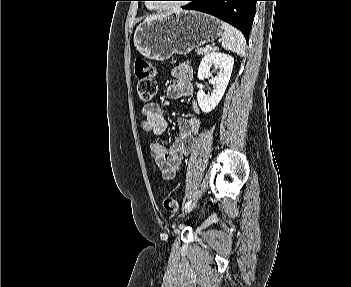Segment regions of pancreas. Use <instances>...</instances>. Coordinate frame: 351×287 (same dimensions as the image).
Returning <instances> with one entry per match:
<instances>
[{
    "instance_id": "pancreas-1",
    "label": "pancreas",
    "mask_w": 351,
    "mask_h": 287,
    "mask_svg": "<svg viewBox=\"0 0 351 287\" xmlns=\"http://www.w3.org/2000/svg\"><path fill=\"white\" fill-rule=\"evenodd\" d=\"M197 54L199 55H203V54H206L207 52L204 51V48H201V47H196V50Z\"/></svg>"
}]
</instances>
